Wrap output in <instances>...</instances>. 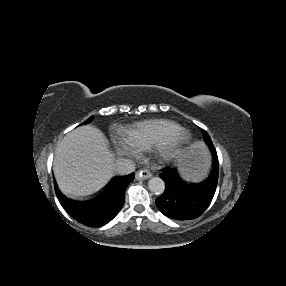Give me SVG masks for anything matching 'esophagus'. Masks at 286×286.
<instances>
[{
  "instance_id": "1",
  "label": "esophagus",
  "mask_w": 286,
  "mask_h": 286,
  "mask_svg": "<svg viewBox=\"0 0 286 286\" xmlns=\"http://www.w3.org/2000/svg\"><path fill=\"white\" fill-rule=\"evenodd\" d=\"M152 176V173L148 169H143L136 173V179L138 180H146Z\"/></svg>"
}]
</instances>
